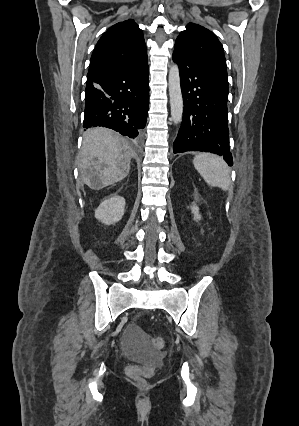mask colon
Returning <instances> with one entry per match:
<instances>
[{"label":"colon","mask_w":299,"mask_h":426,"mask_svg":"<svg viewBox=\"0 0 299 426\" xmlns=\"http://www.w3.org/2000/svg\"><path fill=\"white\" fill-rule=\"evenodd\" d=\"M137 334L142 335L143 332L141 329H137ZM152 343L156 349H163L165 346V340L162 337H155L152 340ZM127 375L136 380V381H144L146 378H149L153 374V369L148 366H129L126 370Z\"/></svg>","instance_id":"obj_1"}]
</instances>
